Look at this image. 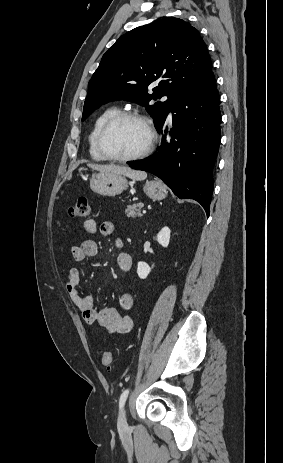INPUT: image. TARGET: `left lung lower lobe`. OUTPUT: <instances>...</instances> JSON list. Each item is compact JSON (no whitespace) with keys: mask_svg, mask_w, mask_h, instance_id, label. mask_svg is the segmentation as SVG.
Wrapping results in <instances>:
<instances>
[{"mask_svg":"<svg viewBox=\"0 0 283 463\" xmlns=\"http://www.w3.org/2000/svg\"><path fill=\"white\" fill-rule=\"evenodd\" d=\"M168 112L175 113L173 127L165 126L166 118L158 127L163 135L159 151L144 160L130 162L129 166L161 178L180 199L198 201L209 216L221 121L212 70L180 93Z\"/></svg>","mask_w":283,"mask_h":463,"instance_id":"0a47b994","label":"left lung lower lobe"}]
</instances>
